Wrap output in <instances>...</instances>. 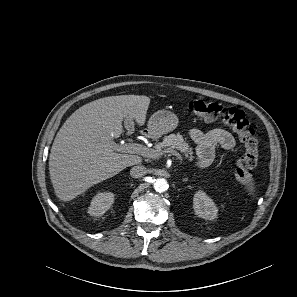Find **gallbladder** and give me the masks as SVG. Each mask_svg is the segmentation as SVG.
<instances>
[{"label": "gallbladder", "mask_w": 297, "mask_h": 297, "mask_svg": "<svg viewBox=\"0 0 297 297\" xmlns=\"http://www.w3.org/2000/svg\"><path fill=\"white\" fill-rule=\"evenodd\" d=\"M124 123H125V125H126V127H127L128 129H132L133 126H134V121H133V119L130 118V117L125 118V119H124Z\"/></svg>", "instance_id": "gallbladder-1"}]
</instances>
